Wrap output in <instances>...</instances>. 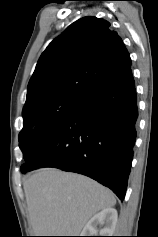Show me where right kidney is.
<instances>
[{
    "label": "right kidney",
    "mask_w": 158,
    "mask_h": 237,
    "mask_svg": "<svg viewBox=\"0 0 158 237\" xmlns=\"http://www.w3.org/2000/svg\"><path fill=\"white\" fill-rule=\"evenodd\" d=\"M118 214L114 208H106L95 214L84 226L80 236H113ZM98 226L102 228L97 229Z\"/></svg>",
    "instance_id": "1"
}]
</instances>
